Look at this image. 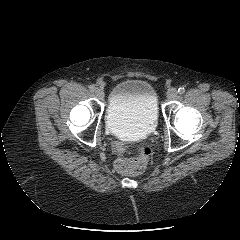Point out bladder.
Returning <instances> with one entry per match:
<instances>
[{
    "mask_svg": "<svg viewBox=\"0 0 240 240\" xmlns=\"http://www.w3.org/2000/svg\"><path fill=\"white\" fill-rule=\"evenodd\" d=\"M158 117V98L149 81L131 78L112 88L105 121L113 135L125 138L148 135L155 130Z\"/></svg>",
    "mask_w": 240,
    "mask_h": 240,
    "instance_id": "1",
    "label": "bladder"
}]
</instances>
